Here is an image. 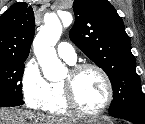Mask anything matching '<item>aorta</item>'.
I'll return each instance as SVG.
<instances>
[{
	"label": "aorta",
	"instance_id": "762f6f07",
	"mask_svg": "<svg viewBox=\"0 0 145 124\" xmlns=\"http://www.w3.org/2000/svg\"><path fill=\"white\" fill-rule=\"evenodd\" d=\"M44 23L33 41L34 54L44 77L49 81H57L66 74L65 65L57 57L54 48L62 34V24L55 14L47 15Z\"/></svg>",
	"mask_w": 145,
	"mask_h": 124
}]
</instances>
